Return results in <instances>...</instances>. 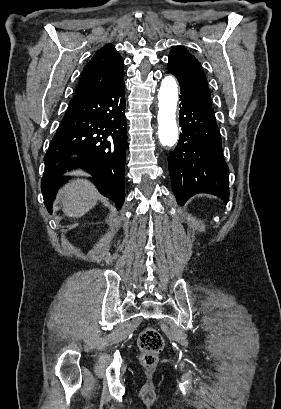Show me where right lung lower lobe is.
Instances as JSON below:
<instances>
[{
	"instance_id": "right-lung-lower-lobe-1",
	"label": "right lung lower lobe",
	"mask_w": 281,
	"mask_h": 409,
	"mask_svg": "<svg viewBox=\"0 0 281 409\" xmlns=\"http://www.w3.org/2000/svg\"><path fill=\"white\" fill-rule=\"evenodd\" d=\"M123 77L98 94L69 102L44 157L41 188L50 213L61 174L76 167L93 175L101 193L112 199L117 209L122 207L127 140ZM73 153L81 160H66Z\"/></svg>"
}]
</instances>
